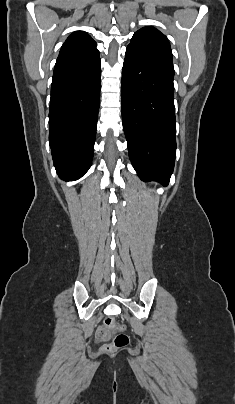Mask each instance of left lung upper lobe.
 Masks as SVG:
<instances>
[{
    "mask_svg": "<svg viewBox=\"0 0 235 404\" xmlns=\"http://www.w3.org/2000/svg\"><path fill=\"white\" fill-rule=\"evenodd\" d=\"M128 47L173 62L172 52L167 37L153 27H144L134 33Z\"/></svg>",
    "mask_w": 235,
    "mask_h": 404,
    "instance_id": "5c2ea615",
    "label": "left lung upper lobe"
}]
</instances>
